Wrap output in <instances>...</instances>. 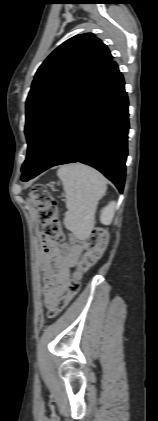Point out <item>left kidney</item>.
I'll return each mask as SVG.
<instances>
[{
  "instance_id": "left-kidney-1",
  "label": "left kidney",
  "mask_w": 158,
  "mask_h": 421,
  "mask_svg": "<svg viewBox=\"0 0 158 421\" xmlns=\"http://www.w3.org/2000/svg\"><path fill=\"white\" fill-rule=\"evenodd\" d=\"M116 203L114 201L110 202L106 207L101 210L100 221L104 225L111 224L114 213H115Z\"/></svg>"
}]
</instances>
